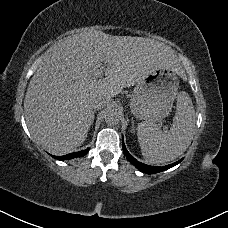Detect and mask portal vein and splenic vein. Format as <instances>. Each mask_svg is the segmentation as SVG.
<instances>
[{
	"mask_svg": "<svg viewBox=\"0 0 228 228\" xmlns=\"http://www.w3.org/2000/svg\"><path fill=\"white\" fill-rule=\"evenodd\" d=\"M103 69H104L103 66H101V67L98 69V71H97V73H96V77H98V78H102V77H103ZM163 129H164V130H167V127H164Z\"/></svg>",
	"mask_w": 228,
	"mask_h": 228,
	"instance_id": "portal-vein-and-splenic-vein-1",
	"label": "portal vein and splenic vein"
}]
</instances>
